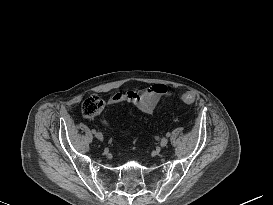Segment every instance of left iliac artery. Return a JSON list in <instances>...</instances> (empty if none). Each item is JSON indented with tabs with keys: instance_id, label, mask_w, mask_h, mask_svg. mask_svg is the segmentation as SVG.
<instances>
[{
	"instance_id": "left-iliac-artery-1",
	"label": "left iliac artery",
	"mask_w": 273,
	"mask_h": 205,
	"mask_svg": "<svg viewBox=\"0 0 273 205\" xmlns=\"http://www.w3.org/2000/svg\"><path fill=\"white\" fill-rule=\"evenodd\" d=\"M170 135H171L170 132H168V133L166 134L167 137H169Z\"/></svg>"
}]
</instances>
